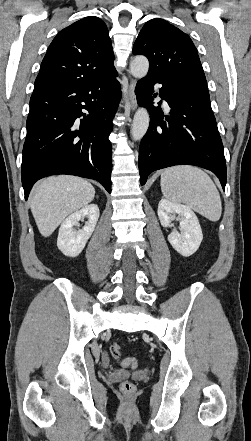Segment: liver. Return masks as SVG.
<instances>
[{
  "mask_svg": "<svg viewBox=\"0 0 251 441\" xmlns=\"http://www.w3.org/2000/svg\"><path fill=\"white\" fill-rule=\"evenodd\" d=\"M95 189L88 181L68 175L48 177L34 188L31 212L42 236H50L64 219L88 205Z\"/></svg>",
  "mask_w": 251,
  "mask_h": 441,
  "instance_id": "1",
  "label": "liver"
}]
</instances>
